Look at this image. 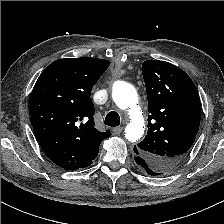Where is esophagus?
I'll return each mask as SVG.
<instances>
[{"label":"esophagus","instance_id":"esophagus-1","mask_svg":"<svg viewBox=\"0 0 224 224\" xmlns=\"http://www.w3.org/2000/svg\"><path fill=\"white\" fill-rule=\"evenodd\" d=\"M123 131V127H115L113 128V132L116 135H119Z\"/></svg>","mask_w":224,"mask_h":224}]
</instances>
